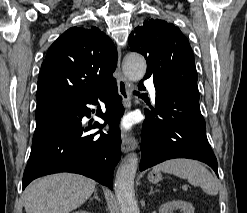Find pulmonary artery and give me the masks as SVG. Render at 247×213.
<instances>
[{"label":"pulmonary artery","instance_id":"pulmonary-artery-1","mask_svg":"<svg viewBox=\"0 0 247 213\" xmlns=\"http://www.w3.org/2000/svg\"><path fill=\"white\" fill-rule=\"evenodd\" d=\"M146 87H147V89L149 91V94H150L151 98L155 99V97H156V89H155L154 85L152 83H150V82H147L146 83Z\"/></svg>","mask_w":247,"mask_h":213}]
</instances>
